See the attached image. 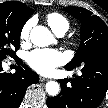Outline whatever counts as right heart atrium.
<instances>
[{"label": "right heart atrium", "instance_id": "right-heart-atrium-1", "mask_svg": "<svg viewBox=\"0 0 108 108\" xmlns=\"http://www.w3.org/2000/svg\"><path fill=\"white\" fill-rule=\"evenodd\" d=\"M32 25H33V22L31 20L24 24V26L22 27L20 31L21 41L27 42L29 40Z\"/></svg>", "mask_w": 108, "mask_h": 108}]
</instances>
